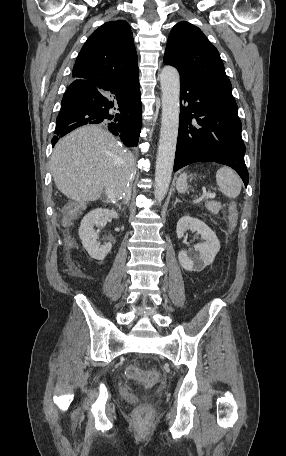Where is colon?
I'll return each mask as SVG.
<instances>
[{
    "label": "colon",
    "mask_w": 286,
    "mask_h": 456,
    "mask_svg": "<svg viewBox=\"0 0 286 456\" xmlns=\"http://www.w3.org/2000/svg\"><path fill=\"white\" fill-rule=\"evenodd\" d=\"M125 374L128 378L139 381L145 388H150L160 379V374L157 370L143 371L138 366L131 364L126 367ZM137 413L144 416L147 413V407H141Z\"/></svg>",
    "instance_id": "obj_1"
}]
</instances>
